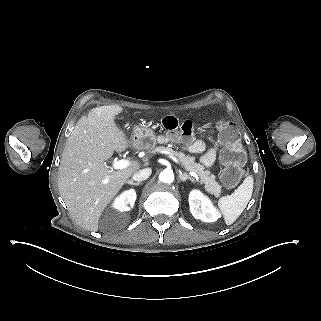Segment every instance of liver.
Wrapping results in <instances>:
<instances>
[{"label": "liver", "mask_w": 321, "mask_h": 321, "mask_svg": "<svg viewBox=\"0 0 321 321\" xmlns=\"http://www.w3.org/2000/svg\"><path fill=\"white\" fill-rule=\"evenodd\" d=\"M123 110L119 105L91 109L76 123L64 148L58 174V189L72 219L82 228L96 232L102 211L122 188L138 164L112 171L104 161L114 151L129 147L116 123Z\"/></svg>", "instance_id": "obj_1"}]
</instances>
